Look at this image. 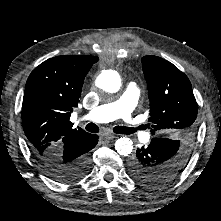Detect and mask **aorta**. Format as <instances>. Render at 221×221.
Masks as SVG:
<instances>
[{
	"instance_id": "obj_1",
	"label": "aorta",
	"mask_w": 221,
	"mask_h": 221,
	"mask_svg": "<svg viewBox=\"0 0 221 221\" xmlns=\"http://www.w3.org/2000/svg\"><path fill=\"white\" fill-rule=\"evenodd\" d=\"M96 85L108 93H116L121 86L120 75L114 70H104L96 80ZM116 151L122 156H128L133 150V142L130 138L121 137L115 143Z\"/></svg>"
}]
</instances>
